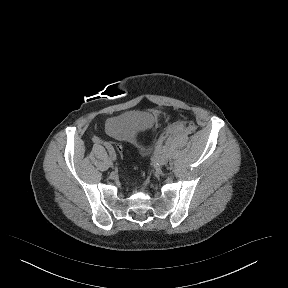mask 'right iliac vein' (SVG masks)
Here are the masks:
<instances>
[{
	"label": "right iliac vein",
	"instance_id": "obj_1",
	"mask_svg": "<svg viewBox=\"0 0 288 288\" xmlns=\"http://www.w3.org/2000/svg\"><path fill=\"white\" fill-rule=\"evenodd\" d=\"M109 164H110L111 167L113 166L112 160H109Z\"/></svg>",
	"mask_w": 288,
	"mask_h": 288
}]
</instances>
